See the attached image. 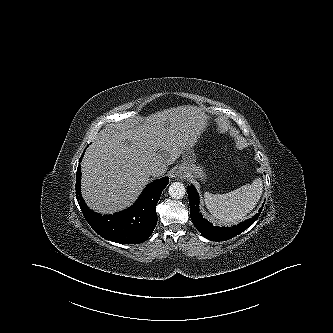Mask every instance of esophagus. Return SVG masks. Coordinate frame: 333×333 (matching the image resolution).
<instances>
[{
	"label": "esophagus",
	"instance_id": "1",
	"mask_svg": "<svg viewBox=\"0 0 333 333\" xmlns=\"http://www.w3.org/2000/svg\"><path fill=\"white\" fill-rule=\"evenodd\" d=\"M176 176L180 179L184 178L185 177V172L183 170H178L176 172Z\"/></svg>",
	"mask_w": 333,
	"mask_h": 333
}]
</instances>
